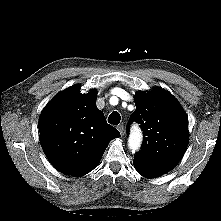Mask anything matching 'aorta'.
<instances>
[{"mask_svg": "<svg viewBox=\"0 0 221 221\" xmlns=\"http://www.w3.org/2000/svg\"><path fill=\"white\" fill-rule=\"evenodd\" d=\"M141 144V132L139 129H135L132 131L129 137L128 146L129 149L135 152L138 150Z\"/></svg>", "mask_w": 221, "mask_h": 221, "instance_id": "aorta-1", "label": "aorta"}]
</instances>
